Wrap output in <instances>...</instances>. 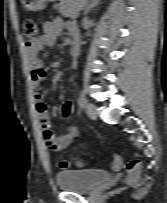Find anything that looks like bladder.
Returning a JSON list of instances; mask_svg holds the SVG:
<instances>
[{"instance_id":"obj_1","label":"bladder","mask_w":167,"mask_h":203,"mask_svg":"<svg viewBox=\"0 0 167 203\" xmlns=\"http://www.w3.org/2000/svg\"><path fill=\"white\" fill-rule=\"evenodd\" d=\"M111 174L100 169L63 170L55 175L59 189L72 193H86L108 181Z\"/></svg>"}]
</instances>
